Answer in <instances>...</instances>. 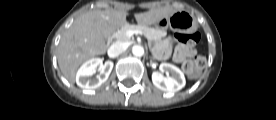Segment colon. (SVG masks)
Wrapping results in <instances>:
<instances>
[{"label": "colon", "instance_id": "5ec220e1", "mask_svg": "<svg viewBox=\"0 0 276 120\" xmlns=\"http://www.w3.org/2000/svg\"><path fill=\"white\" fill-rule=\"evenodd\" d=\"M200 33L194 32L191 34L178 33L175 35V41L179 45H193L200 40ZM206 63V58L203 54H199L190 58H186L182 63L184 73L190 78H194L200 74Z\"/></svg>", "mask_w": 276, "mask_h": 120}]
</instances>
